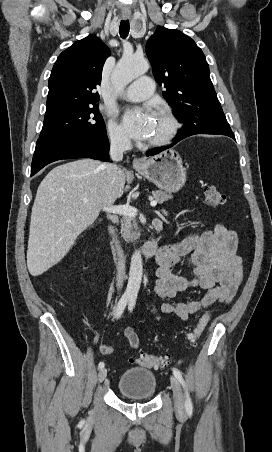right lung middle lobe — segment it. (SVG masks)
Segmentation results:
<instances>
[{
	"label": "right lung middle lobe",
	"instance_id": "right-lung-middle-lobe-1",
	"mask_svg": "<svg viewBox=\"0 0 272 452\" xmlns=\"http://www.w3.org/2000/svg\"><path fill=\"white\" fill-rule=\"evenodd\" d=\"M105 135V123L95 104L45 114L39 138Z\"/></svg>",
	"mask_w": 272,
	"mask_h": 452
}]
</instances>
